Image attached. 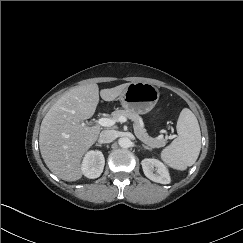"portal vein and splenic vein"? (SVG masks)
Segmentation results:
<instances>
[{"instance_id": "1", "label": "portal vein and splenic vein", "mask_w": 243, "mask_h": 243, "mask_svg": "<svg viewBox=\"0 0 243 243\" xmlns=\"http://www.w3.org/2000/svg\"><path fill=\"white\" fill-rule=\"evenodd\" d=\"M127 118L124 116H121L118 120H115L113 118H100L97 120L98 125L103 126V127H111L115 125L116 122H126Z\"/></svg>"}]
</instances>
